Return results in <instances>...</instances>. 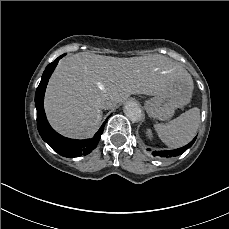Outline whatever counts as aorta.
Instances as JSON below:
<instances>
[{
    "instance_id": "obj_1",
    "label": "aorta",
    "mask_w": 229,
    "mask_h": 229,
    "mask_svg": "<svg viewBox=\"0 0 229 229\" xmlns=\"http://www.w3.org/2000/svg\"><path fill=\"white\" fill-rule=\"evenodd\" d=\"M124 113L133 122H138L142 119V111L135 102L125 103Z\"/></svg>"
}]
</instances>
